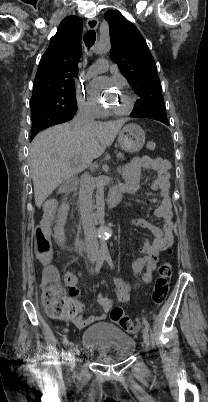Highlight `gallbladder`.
<instances>
[{"mask_svg":"<svg viewBox=\"0 0 208 402\" xmlns=\"http://www.w3.org/2000/svg\"><path fill=\"white\" fill-rule=\"evenodd\" d=\"M70 189V182L69 181H60L59 187H57L56 192L59 195L64 194L65 190Z\"/></svg>","mask_w":208,"mask_h":402,"instance_id":"obj_1","label":"gallbladder"}]
</instances>
